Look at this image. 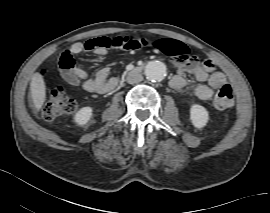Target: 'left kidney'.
Here are the masks:
<instances>
[{"label":"left kidney","instance_id":"left-kidney-1","mask_svg":"<svg viewBox=\"0 0 270 213\" xmlns=\"http://www.w3.org/2000/svg\"><path fill=\"white\" fill-rule=\"evenodd\" d=\"M190 119L196 128H202L209 120L208 111L203 106L194 104L190 109Z\"/></svg>","mask_w":270,"mask_h":213}]
</instances>
